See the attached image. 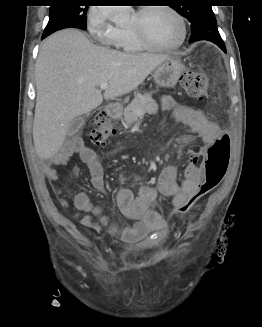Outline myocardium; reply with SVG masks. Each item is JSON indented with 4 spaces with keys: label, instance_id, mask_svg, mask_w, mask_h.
Masks as SVG:
<instances>
[{
    "label": "myocardium",
    "instance_id": "obj_1",
    "mask_svg": "<svg viewBox=\"0 0 262 327\" xmlns=\"http://www.w3.org/2000/svg\"><path fill=\"white\" fill-rule=\"evenodd\" d=\"M165 9L169 11L172 15L176 17V19L179 21L181 26V36L180 39L171 45H161L155 43L142 29L140 24H136L134 26H129V29L131 32L135 35V37L138 39V41L147 49L156 50V51H171L180 48L187 38V24L185 21V18L182 16V14L175 9L174 7L167 5V4H161V5H151V6H144L139 8L135 14L138 18L142 17L147 11L153 10V9Z\"/></svg>",
    "mask_w": 262,
    "mask_h": 327
}]
</instances>
